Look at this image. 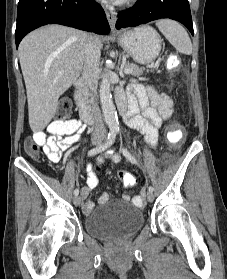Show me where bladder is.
<instances>
[{
  "label": "bladder",
  "instance_id": "obj_1",
  "mask_svg": "<svg viewBox=\"0 0 227 279\" xmlns=\"http://www.w3.org/2000/svg\"><path fill=\"white\" fill-rule=\"evenodd\" d=\"M143 224L142 211L133 203L121 199L108 201L85 219L86 232L96 238L129 237Z\"/></svg>",
  "mask_w": 227,
  "mask_h": 279
}]
</instances>
